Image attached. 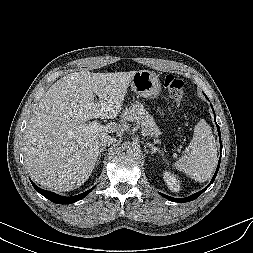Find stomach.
I'll use <instances>...</instances> for the list:
<instances>
[{"label": "stomach", "mask_w": 253, "mask_h": 253, "mask_svg": "<svg viewBox=\"0 0 253 253\" xmlns=\"http://www.w3.org/2000/svg\"><path fill=\"white\" fill-rule=\"evenodd\" d=\"M129 85L132 91L143 98L155 99L161 92V83L158 76L148 70L136 71Z\"/></svg>", "instance_id": "1"}]
</instances>
